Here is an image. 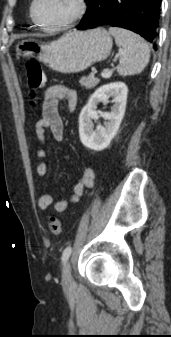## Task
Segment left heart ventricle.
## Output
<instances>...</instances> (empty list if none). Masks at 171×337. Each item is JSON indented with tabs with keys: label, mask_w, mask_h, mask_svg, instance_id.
I'll return each instance as SVG.
<instances>
[{
	"label": "left heart ventricle",
	"mask_w": 171,
	"mask_h": 337,
	"mask_svg": "<svg viewBox=\"0 0 171 337\" xmlns=\"http://www.w3.org/2000/svg\"><path fill=\"white\" fill-rule=\"evenodd\" d=\"M76 10L75 0H38L36 15L47 25H56L66 21Z\"/></svg>",
	"instance_id": "b2bd125f"
}]
</instances>
